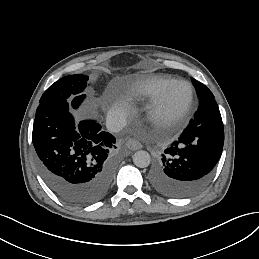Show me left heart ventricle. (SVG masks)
I'll return each instance as SVG.
<instances>
[{"mask_svg":"<svg viewBox=\"0 0 259 259\" xmlns=\"http://www.w3.org/2000/svg\"><path fill=\"white\" fill-rule=\"evenodd\" d=\"M146 94L155 104V117L165 121L180 110H182L190 100L191 92L183 81L159 82L150 77L145 82Z\"/></svg>","mask_w":259,"mask_h":259,"instance_id":"1","label":"left heart ventricle"}]
</instances>
